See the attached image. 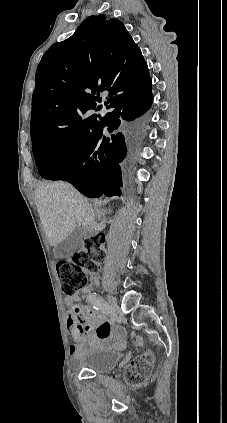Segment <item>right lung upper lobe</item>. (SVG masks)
I'll return each mask as SVG.
<instances>
[{
    "label": "right lung upper lobe",
    "instance_id": "obj_1",
    "mask_svg": "<svg viewBox=\"0 0 227 423\" xmlns=\"http://www.w3.org/2000/svg\"><path fill=\"white\" fill-rule=\"evenodd\" d=\"M35 83L32 143L54 135L93 136L105 121L87 117L99 108V92L109 93V108L149 93L152 85L141 50L122 22L104 15L88 17L70 38L53 44L38 65Z\"/></svg>",
    "mask_w": 227,
    "mask_h": 423
}]
</instances>
